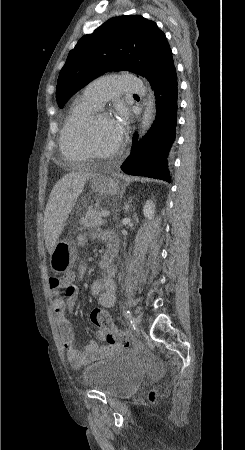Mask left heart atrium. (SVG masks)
I'll use <instances>...</instances> for the list:
<instances>
[{
    "label": "left heart atrium",
    "instance_id": "39dd6f15",
    "mask_svg": "<svg viewBox=\"0 0 245 450\" xmlns=\"http://www.w3.org/2000/svg\"><path fill=\"white\" fill-rule=\"evenodd\" d=\"M128 116L126 112L120 111L115 119L110 120V128L115 139L121 143L127 128Z\"/></svg>",
    "mask_w": 245,
    "mask_h": 450
}]
</instances>
